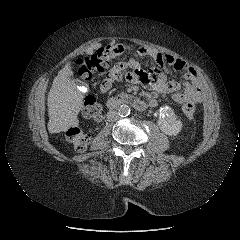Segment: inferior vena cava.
I'll list each match as a JSON object with an SVG mask.
<instances>
[{"label":"inferior vena cava","instance_id":"602c4592","mask_svg":"<svg viewBox=\"0 0 240 240\" xmlns=\"http://www.w3.org/2000/svg\"><path fill=\"white\" fill-rule=\"evenodd\" d=\"M119 119V114L117 111H114V110H110L108 113H107V120L109 122H115Z\"/></svg>","mask_w":240,"mask_h":240}]
</instances>
